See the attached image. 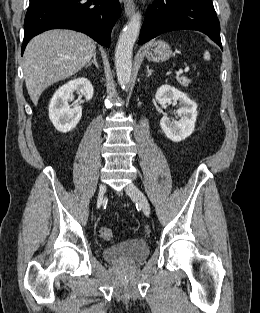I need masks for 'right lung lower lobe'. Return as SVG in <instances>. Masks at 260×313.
Listing matches in <instances>:
<instances>
[{"label":"right lung lower lobe","instance_id":"obj_1","mask_svg":"<svg viewBox=\"0 0 260 313\" xmlns=\"http://www.w3.org/2000/svg\"><path fill=\"white\" fill-rule=\"evenodd\" d=\"M119 15L118 0H30L21 53L31 38L55 28L83 32L109 47L112 26Z\"/></svg>","mask_w":260,"mask_h":313}]
</instances>
